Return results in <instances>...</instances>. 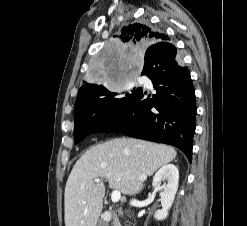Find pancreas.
Returning <instances> with one entry per match:
<instances>
[{
	"label": "pancreas",
	"mask_w": 247,
	"mask_h": 226,
	"mask_svg": "<svg viewBox=\"0 0 247 226\" xmlns=\"http://www.w3.org/2000/svg\"><path fill=\"white\" fill-rule=\"evenodd\" d=\"M112 226H121L118 217L114 216Z\"/></svg>",
	"instance_id": "pancreas-1"
}]
</instances>
